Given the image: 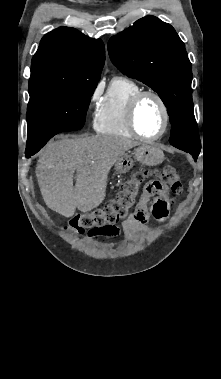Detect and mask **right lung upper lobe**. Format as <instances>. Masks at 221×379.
Returning <instances> with one entry per match:
<instances>
[{
  "mask_svg": "<svg viewBox=\"0 0 221 379\" xmlns=\"http://www.w3.org/2000/svg\"><path fill=\"white\" fill-rule=\"evenodd\" d=\"M105 62V47L75 28L60 27L40 41L32 59L29 94L78 84L96 85Z\"/></svg>",
  "mask_w": 221,
  "mask_h": 379,
  "instance_id": "obj_1",
  "label": "right lung upper lobe"
}]
</instances>
